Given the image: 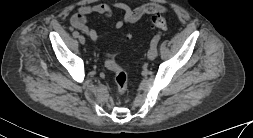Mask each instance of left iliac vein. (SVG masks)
Masks as SVG:
<instances>
[{
  "label": "left iliac vein",
  "mask_w": 253,
  "mask_h": 138,
  "mask_svg": "<svg viewBox=\"0 0 253 138\" xmlns=\"http://www.w3.org/2000/svg\"><path fill=\"white\" fill-rule=\"evenodd\" d=\"M147 56H148L149 60H154L156 58V56H157V49H156V47H150Z\"/></svg>",
  "instance_id": "4c4485c4"
}]
</instances>
